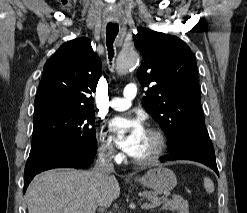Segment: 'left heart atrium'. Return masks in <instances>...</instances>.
Instances as JSON below:
<instances>
[{
	"label": "left heart atrium",
	"mask_w": 247,
	"mask_h": 213,
	"mask_svg": "<svg viewBox=\"0 0 247 213\" xmlns=\"http://www.w3.org/2000/svg\"><path fill=\"white\" fill-rule=\"evenodd\" d=\"M111 130L116 134H123L118 138L119 146L129 155H134L139 149L146 130L140 119L117 117L110 122Z\"/></svg>",
	"instance_id": "39dd6f15"
}]
</instances>
